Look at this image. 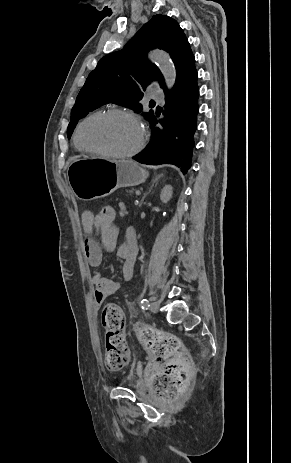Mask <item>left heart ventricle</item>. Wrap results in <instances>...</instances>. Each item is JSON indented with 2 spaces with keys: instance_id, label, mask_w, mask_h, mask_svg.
I'll return each mask as SVG.
<instances>
[{
  "instance_id": "b2bd125f",
  "label": "left heart ventricle",
  "mask_w": 291,
  "mask_h": 463,
  "mask_svg": "<svg viewBox=\"0 0 291 463\" xmlns=\"http://www.w3.org/2000/svg\"><path fill=\"white\" fill-rule=\"evenodd\" d=\"M82 142L92 148L125 152L133 149L140 137L137 125L121 115L100 116L88 121L81 130Z\"/></svg>"
}]
</instances>
